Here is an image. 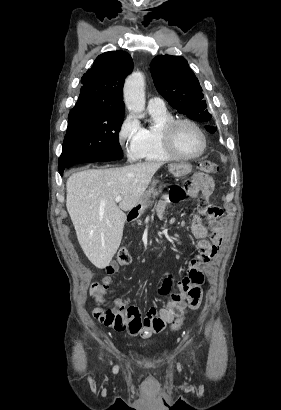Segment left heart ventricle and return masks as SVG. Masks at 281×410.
Masks as SVG:
<instances>
[{
	"instance_id": "obj_1",
	"label": "left heart ventricle",
	"mask_w": 281,
	"mask_h": 410,
	"mask_svg": "<svg viewBox=\"0 0 281 410\" xmlns=\"http://www.w3.org/2000/svg\"><path fill=\"white\" fill-rule=\"evenodd\" d=\"M173 142L178 151L185 155L197 154L203 144L200 133L189 124H179L175 128Z\"/></svg>"
}]
</instances>
